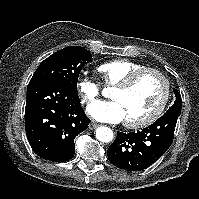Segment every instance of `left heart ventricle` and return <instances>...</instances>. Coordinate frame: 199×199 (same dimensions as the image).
I'll list each match as a JSON object with an SVG mask.
<instances>
[{
	"instance_id": "obj_1",
	"label": "left heart ventricle",
	"mask_w": 199,
	"mask_h": 199,
	"mask_svg": "<svg viewBox=\"0 0 199 199\" xmlns=\"http://www.w3.org/2000/svg\"><path fill=\"white\" fill-rule=\"evenodd\" d=\"M164 92L163 81L155 74H146L130 90L113 89L110 96L125 112V120H139L158 105Z\"/></svg>"
}]
</instances>
